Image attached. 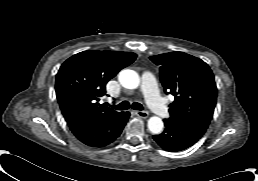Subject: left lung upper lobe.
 Returning <instances> with one entry per match:
<instances>
[{
    "label": "left lung upper lobe",
    "mask_w": 258,
    "mask_h": 181,
    "mask_svg": "<svg viewBox=\"0 0 258 181\" xmlns=\"http://www.w3.org/2000/svg\"><path fill=\"white\" fill-rule=\"evenodd\" d=\"M160 66V79L167 94L175 97L169 105L170 119L207 129L214 112L217 88L209 66L183 52L150 57Z\"/></svg>",
    "instance_id": "left-lung-upper-lobe-1"
}]
</instances>
